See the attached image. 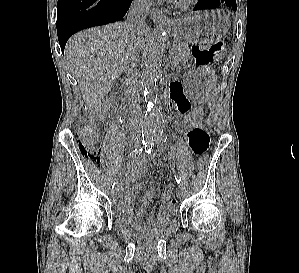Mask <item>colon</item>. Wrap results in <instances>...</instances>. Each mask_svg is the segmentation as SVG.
Returning a JSON list of instances; mask_svg holds the SVG:
<instances>
[{
    "mask_svg": "<svg viewBox=\"0 0 299 273\" xmlns=\"http://www.w3.org/2000/svg\"><path fill=\"white\" fill-rule=\"evenodd\" d=\"M192 55L199 64L214 65L219 63L226 52L223 41H217L210 45H193ZM204 109L198 105L193 107L182 122V127L186 134L194 129L202 126ZM98 130L93 121H84L77 128V146L80 153L87 159L94 161L99 160L100 148L97 146ZM207 164V158L202 156L198 158L196 167L199 171L203 170ZM178 198V194L176 192ZM177 198H173L170 202L176 205Z\"/></svg>",
    "mask_w": 299,
    "mask_h": 273,
    "instance_id": "1",
    "label": "colon"
}]
</instances>
